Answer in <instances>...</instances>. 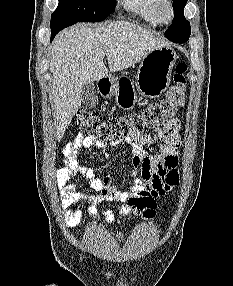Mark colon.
<instances>
[{
	"mask_svg": "<svg viewBox=\"0 0 233 286\" xmlns=\"http://www.w3.org/2000/svg\"><path fill=\"white\" fill-rule=\"evenodd\" d=\"M186 71L184 63L175 67L174 85L161 100L151 103L145 109L128 116L104 118L100 113L82 108L78 111L75 124L80 129L94 132L105 142H120L126 138L140 135L148 128L163 124L186 102ZM152 203L150 193L143 191L132 197L128 206L131 214H142Z\"/></svg>",
	"mask_w": 233,
	"mask_h": 286,
	"instance_id": "1",
	"label": "colon"
}]
</instances>
